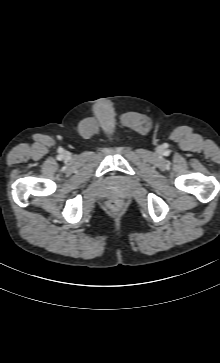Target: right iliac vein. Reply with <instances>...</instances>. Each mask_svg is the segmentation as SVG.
I'll return each instance as SVG.
<instances>
[{
  "mask_svg": "<svg viewBox=\"0 0 220 363\" xmlns=\"http://www.w3.org/2000/svg\"><path fill=\"white\" fill-rule=\"evenodd\" d=\"M63 157L66 159L70 158V153L67 151L63 152Z\"/></svg>",
  "mask_w": 220,
  "mask_h": 363,
  "instance_id": "obj_1",
  "label": "right iliac vein"
}]
</instances>
